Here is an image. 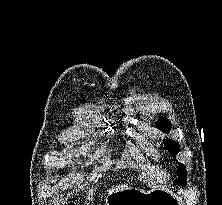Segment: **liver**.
Segmentation results:
<instances>
[{
  "instance_id": "1",
  "label": "liver",
  "mask_w": 222,
  "mask_h": 205,
  "mask_svg": "<svg viewBox=\"0 0 222 205\" xmlns=\"http://www.w3.org/2000/svg\"><path fill=\"white\" fill-rule=\"evenodd\" d=\"M124 187H126V185H121V186H119L118 188H116L115 190H117V189H122V188H124Z\"/></svg>"
}]
</instances>
